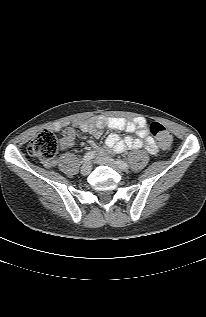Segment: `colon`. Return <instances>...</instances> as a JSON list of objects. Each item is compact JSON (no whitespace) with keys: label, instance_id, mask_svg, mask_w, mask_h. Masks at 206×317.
<instances>
[{"label":"colon","instance_id":"obj_1","mask_svg":"<svg viewBox=\"0 0 206 317\" xmlns=\"http://www.w3.org/2000/svg\"><path fill=\"white\" fill-rule=\"evenodd\" d=\"M147 127L158 144L163 148H169L172 143V135L164 125L159 122H148ZM58 140L48 130L41 131L28 145V152L34 158L41 161H50L57 153Z\"/></svg>","mask_w":206,"mask_h":317}]
</instances>
